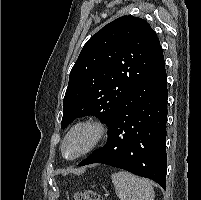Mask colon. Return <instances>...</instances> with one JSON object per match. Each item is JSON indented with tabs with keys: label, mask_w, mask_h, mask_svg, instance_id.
<instances>
[{
	"label": "colon",
	"mask_w": 201,
	"mask_h": 200,
	"mask_svg": "<svg viewBox=\"0 0 201 200\" xmlns=\"http://www.w3.org/2000/svg\"><path fill=\"white\" fill-rule=\"evenodd\" d=\"M73 200H103L102 196L96 191L88 190L76 192Z\"/></svg>",
	"instance_id": "obj_1"
}]
</instances>
